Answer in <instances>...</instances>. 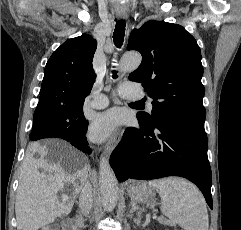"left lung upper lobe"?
<instances>
[{"label":"left lung upper lobe","mask_w":241,"mask_h":230,"mask_svg":"<svg viewBox=\"0 0 241 230\" xmlns=\"http://www.w3.org/2000/svg\"><path fill=\"white\" fill-rule=\"evenodd\" d=\"M127 49L142 54L129 80L153 99L152 114L138 113V119L149 125L163 115L205 121L201 50L191 34L178 24L150 20L132 31Z\"/></svg>","instance_id":"5c2ea615"}]
</instances>
